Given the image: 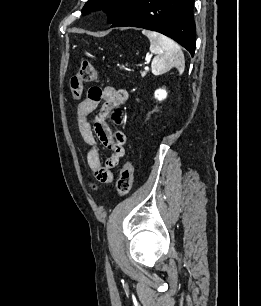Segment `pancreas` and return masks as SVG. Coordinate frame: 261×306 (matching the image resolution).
Instances as JSON below:
<instances>
[{"label": "pancreas", "mask_w": 261, "mask_h": 306, "mask_svg": "<svg viewBox=\"0 0 261 306\" xmlns=\"http://www.w3.org/2000/svg\"><path fill=\"white\" fill-rule=\"evenodd\" d=\"M142 77L146 75V72H141Z\"/></svg>", "instance_id": "obj_1"}]
</instances>
